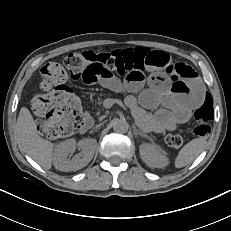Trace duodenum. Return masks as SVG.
<instances>
[{"label":"duodenum","instance_id":"410a0bca","mask_svg":"<svg viewBox=\"0 0 231 231\" xmlns=\"http://www.w3.org/2000/svg\"><path fill=\"white\" fill-rule=\"evenodd\" d=\"M93 126V119L87 113L84 115L81 131L86 132Z\"/></svg>","mask_w":231,"mask_h":231}]
</instances>
